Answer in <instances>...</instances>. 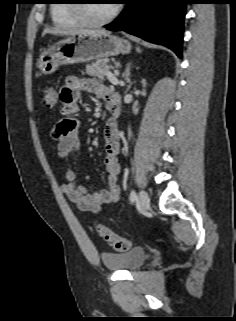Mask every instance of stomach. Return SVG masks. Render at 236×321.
Instances as JSON below:
<instances>
[{"label": "stomach", "mask_w": 236, "mask_h": 321, "mask_svg": "<svg viewBox=\"0 0 236 321\" xmlns=\"http://www.w3.org/2000/svg\"><path fill=\"white\" fill-rule=\"evenodd\" d=\"M130 50L128 41L111 34H74L44 50L39 56L37 67L42 74L48 75L62 65L128 54Z\"/></svg>", "instance_id": "1"}]
</instances>
